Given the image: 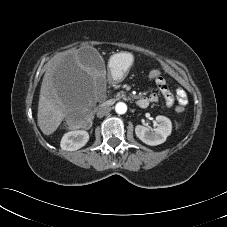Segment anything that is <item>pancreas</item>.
Returning <instances> with one entry per match:
<instances>
[{"mask_svg":"<svg viewBox=\"0 0 227 227\" xmlns=\"http://www.w3.org/2000/svg\"><path fill=\"white\" fill-rule=\"evenodd\" d=\"M116 100H119V99H126V96H125V92L121 91L120 93H118L116 95Z\"/></svg>","mask_w":227,"mask_h":227,"instance_id":"obj_1","label":"pancreas"}]
</instances>
